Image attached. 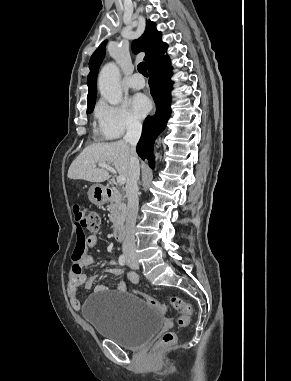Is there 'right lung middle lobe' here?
<instances>
[{
  "label": "right lung middle lobe",
  "mask_w": 291,
  "mask_h": 381,
  "mask_svg": "<svg viewBox=\"0 0 291 381\" xmlns=\"http://www.w3.org/2000/svg\"><path fill=\"white\" fill-rule=\"evenodd\" d=\"M94 105H95V102H93V103L87 105V113H88L89 111H92V110L94 109Z\"/></svg>",
  "instance_id": "1"
}]
</instances>
